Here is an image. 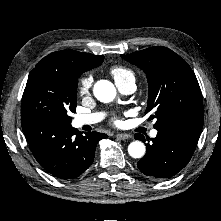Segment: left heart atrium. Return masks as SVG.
Segmentation results:
<instances>
[{
  "label": "left heart atrium",
  "mask_w": 221,
  "mask_h": 221,
  "mask_svg": "<svg viewBox=\"0 0 221 221\" xmlns=\"http://www.w3.org/2000/svg\"><path fill=\"white\" fill-rule=\"evenodd\" d=\"M115 123H116V124H119L120 122H119V121H115Z\"/></svg>",
  "instance_id": "39dd6f15"
}]
</instances>
